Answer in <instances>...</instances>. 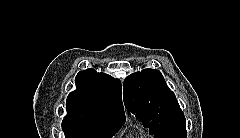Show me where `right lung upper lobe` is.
<instances>
[{
    "label": "right lung upper lobe",
    "mask_w": 240,
    "mask_h": 138,
    "mask_svg": "<svg viewBox=\"0 0 240 138\" xmlns=\"http://www.w3.org/2000/svg\"><path fill=\"white\" fill-rule=\"evenodd\" d=\"M77 90L68 95L66 121H82L107 126L125 123L120 81L94 69L80 71Z\"/></svg>",
    "instance_id": "cb5924a9"
}]
</instances>
